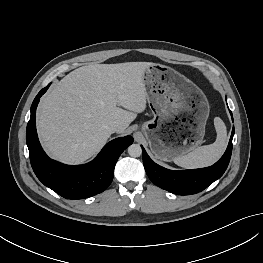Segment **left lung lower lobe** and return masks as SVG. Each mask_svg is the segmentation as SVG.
<instances>
[{"instance_id": "1", "label": "left lung lower lobe", "mask_w": 263, "mask_h": 263, "mask_svg": "<svg viewBox=\"0 0 263 263\" xmlns=\"http://www.w3.org/2000/svg\"><path fill=\"white\" fill-rule=\"evenodd\" d=\"M231 113V111H230ZM232 115V113H231ZM224 155L214 165L201 169L173 171L154 163L142 147L143 164L150 180L157 186L178 195H191L207 188L219 179L228 167L232 153V139Z\"/></svg>"}]
</instances>
